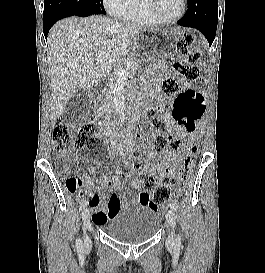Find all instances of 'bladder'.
Listing matches in <instances>:
<instances>
[{
    "instance_id": "1",
    "label": "bladder",
    "mask_w": 265,
    "mask_h": 273,
    "mask_svg": "<svg viewBox=\"0 0 265 273\" xmlns=\"http://www.w3.org/2000/svg\"><path fill=\"white\" fill-rule=\"evenodd\" d=\"M161 226L157 210L138 203L116 212L105 224V234L123 244H139L151 240Z\"/></svg>"
}]
</instances>
